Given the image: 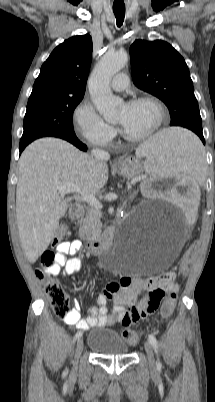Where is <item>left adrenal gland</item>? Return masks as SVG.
<instances>
[{"label":"left adrenal gland","instance_id":"1","mask_svg":"<svg viewBox=\"0 0 215 402\" xmlns=\"http://www.w3.org/2000/svg\"><path fill=\"white\" fill-rule=\"evenodd\" d=\"M134 196H135L134 194L132 196H130V199L132 200L134 198Z\"/></svg>","mask_w":215,"mask_h":402}]
</instances>
